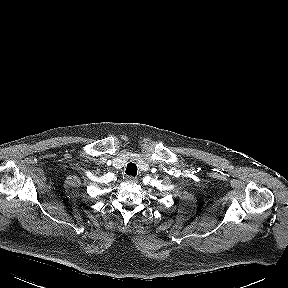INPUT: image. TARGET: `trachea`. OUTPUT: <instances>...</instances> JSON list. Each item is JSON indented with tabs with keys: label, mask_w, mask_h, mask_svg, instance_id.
Here are the masks:
<instances>
[{
	"label": "trachea",
	"mask_w": 288,
	"mask_h": 288,
	"mask_svg": "<svg viewBox=\"0 0 288 288\" xmlns=\"http://www.w3.org/2000/svg\"><path fill=\"white\" fill-rule=\"evenodd\" d=\"M126 174L131 175V176H136L137 175V166L135 163H128L126 167Z\"/></svg>",
	"instance_id": "obj_1"
}]
</instances>
